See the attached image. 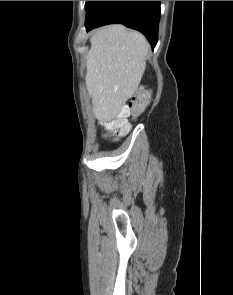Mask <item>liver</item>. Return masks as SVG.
I'll use <instances>...</instances> for the list:
<instances>
[{
    "mask_svg": "<svg viewBox=\"0 0 233 295\" xmlns=\"http://www.w3.org/2000/svg\"><path fill=\"white\" fill-rule=\"evenodd\" d=\"M90 42L86 87L95 118L107 122L119 114L137 90L149 44L141 33L120 24L95 30Z\"/></svg>",
    "mask_w": 233,
    "mask_h": 295,
    "instance_id": "6515ba94",
    "label": "liver"
}]
</instances>
